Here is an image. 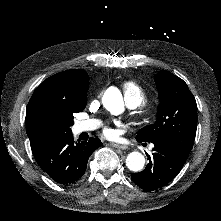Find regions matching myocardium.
Instances as JSON below:
<instances>
[{
	"instance_id": "1",
	"label": "myocardium",
	"mask_w": 221,
	"mask_h": 221,
	"mask_svg": "<svg viewBox=\"0 0 221 221\" xmlns=\"http://www.w3.org/2000/svg\"><path fill=\"white\" fill-rule=\"evenodd\" d=\"M148 116H149L148 120L145 122V124H151V118L153 117V112L149 111Z\"/></svg>"
}]
</instances>
